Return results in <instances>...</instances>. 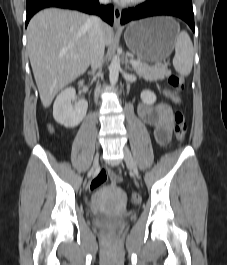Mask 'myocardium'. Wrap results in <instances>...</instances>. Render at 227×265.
I'll use <instances>...</instances> for the list:
<instances>
[{"label":"myocardium","mask_w":227,"mask_h":265,"mask_svg":"<svg viewBox=\"0 0 227 265\" xmlns=\"http://www.w3.org/2000/svg\"><path fill=\"white\" fill-rule=\"evenodd\" d=\"M145 0H128V1H125L126 4H129V5H137V4H140L142 2H144Z\"/></svg>","instance_id":"obj_1"}]
</instances>
